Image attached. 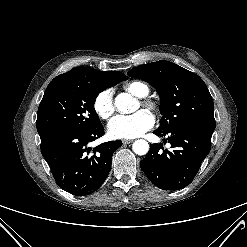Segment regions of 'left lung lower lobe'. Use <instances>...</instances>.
Returning <instances> with one entry per match:
<instances>
[{
	"label": "left lung lower lobe",
	"mask_w": 247,
	"mask_h": 247,
	"mask_svg": "<svg viewBox=\"0 0 247 247\" xmlns=\"http://www.w3.org/2000/svg\"><path fill=\"white\" fill-rule=\"evenodd\" d=\"M154 133L167 136L171 149L153 144L140 162L141 169L160 189H183L193 181L208 155L212 133L193 126H180L166 132L156 130Z\"/></svg>",
	"instance_id": "obj_1"
}]
</instances>
